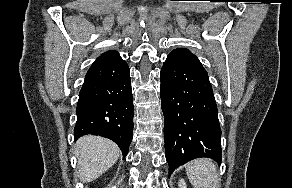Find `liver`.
I'll use <instances>...</instances> for the list:
<instances>
[{"label":"liver","mask_w":292,"mask_h":188,"mask_svg":"<svg viewBox=\"0 0 292 188\" xmlns=\"http://www.w3.org/2000/svg\"><path fill=\"white\" fill-rule=\"evenodd\" d=\"M78 174L83 182H92L107 171L119 158V147L109 139L86 135L76 143Z\"/></svg>","instance_id":"6515ba94"}]
</instances>
